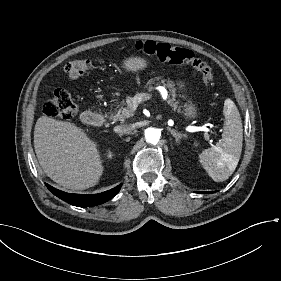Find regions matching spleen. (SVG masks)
<instances>
[{
	"label": "spleen",
	"mask_w": 281,
	"mask_h": 281,
	"mask_svg": "<svg viewBox=\"0 0 281 281\" xmlns=\"http://www.w3.org/2000/svg\"><path fill=\"white\" fill-rule=\"evenodd\" d=\"M222 139L200 154V163L215 182L227 180L235 171L242 152L243 127L238 108L231 99L224 102Z\"/></svg>",
	"instance_id": "1"
}]
</instances>
